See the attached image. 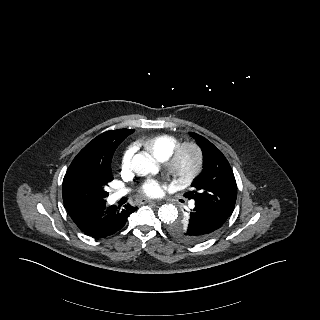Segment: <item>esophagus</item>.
<instances>
[{"mask_svg": "<svg viewBox=\"0 0 320 320\" xmlns=\"http://www.w3.org/2000/svg\"><path fill=\"white\" fill-rule=\"evenodd\" d=\"M145 203H149V204H159L160 202H159V201H154V200H151V199H142V200H141V204H145Z\"/></svg>", "mask_w": 320, "mask_h": 320, "instance_id": "esophagus-1", "label": "esophagus"}]
</instances>
